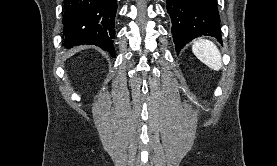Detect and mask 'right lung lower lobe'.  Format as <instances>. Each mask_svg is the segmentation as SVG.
I'll return each mask as SVG.
<instances>
[{"label":"right lung lower lobe","mask_w":277,"mask_h":166,"mask_svg":"<svg viewBox=\"0 0 277 166\" xmlns=\"http://www.w3.org/2000/svg\"><path fill=\"white\" fill-rule=\"evenodd\" d=\"M63 45L101 47L115 57L113 39L117 0H64Z\"/></svg>","instance_id":"98d812e1"}]
</instances>
